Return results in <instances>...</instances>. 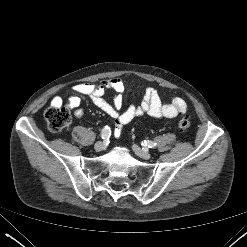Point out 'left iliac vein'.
Returning a JSON list of instances; mask_svg holds the SVG:
<instances>
[{
	"label": "left iliac vein",
	"instance_id": "1",
	"mask_svg": "<svg viewBox=\"0 0 247 247\" xmlns=\"http://www.w3.org/2000/svg\"><path fill=\"white\" fill-rule=\"evenodd\" d=\"M132 148L139 157L146 160L151 158V154L148 152V150L141 149L139 146L135 144L132 146Z\"/></svg>",
	"mask_w": 247,
	"mask_h": 247
}]
</instances>
